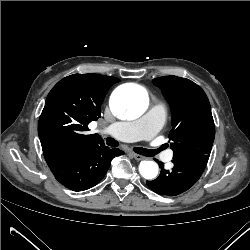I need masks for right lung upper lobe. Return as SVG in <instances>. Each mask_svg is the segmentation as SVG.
<instances>
[{
	"label": "right lung upper lobe",
	"mask_w": 250,
	"mask_h": 250,
	"mask_svg": "<svg viewBox=\"0 0 250 250\" xmlns=\"http://www.w3.org/2000/svg\"><path fill=\"white\" fill-rule=\"evenodd\" d=\"M117 82L119 79L112 76L73 74L53 87L38 122V134L47 162L104 144L100 136L87 135L86 131L88 124L101 116L105 95Z\"/></svg>",
	"instance_id": "1"
}]
</instances>
